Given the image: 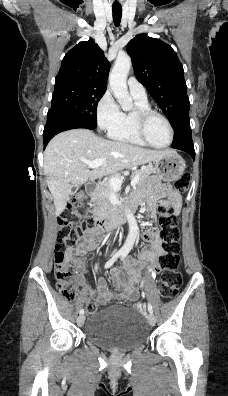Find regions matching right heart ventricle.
Instances as JSON below:
<instances>
[{
	"label": "right heart ventricle",
	"mask_w": 228,
	"mask_h": 396,
	"mask_svg": "<svg viewBox=\"0 0 228 396\" xmlns=\"http://www.w3.org/2000/svg\"><path fill=\"white\" fill-rule=\"evenodd\" d=\"M134 97L136 107L151 108L147 98ZM109 137L113 140L137 145L146 146V144L138 136L133 120L132 112H122L121 122L108 131Z\"/></svg>",
	"instance_id": "right-heart-ventricle-1"
}]
</instances>
